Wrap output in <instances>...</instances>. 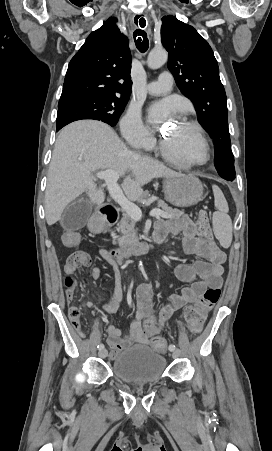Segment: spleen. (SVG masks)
<instances>
[{"mask_svg":"<svg viewBox=\"0 0 272 451\" xmlns=\"http://www.w3.org/2000/svg\"><path fill=\"white\" fill-rule=\"evenodd\" d=\"M212 190L215 208L218 210V212H214L212 218L214 233L217 239H219L222 247H230L233 226L232 220L230 216H228L229 208L227 200H225V196L218 186H212Z\"/></svg>","mask_w":272,"mask_h":451,"instance_id":"3e777b00","label":"spleen"}]
</instances>
